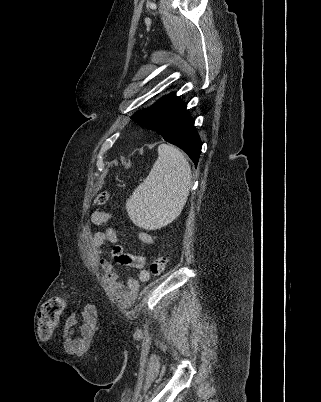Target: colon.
Segmentation results:
<instances>
[{"mask_svg": "<svg viewBox=\"0 0 321 402\" xmlns=\"http://www.w3.org/2000/svg\"><path fill=\"white\" fill-rule=\"evenodd\" d=\"M108 201V193L101 192L94 199L95 206H104ZM167 255L163 254L156 257L150 264V272L154 276H160L167 266ZM65 309V302L59 296H53L48 299L38 318V333L41 337L52 335L57 326L58 320Z\"/></svg>", "mask_w": 321, "mask_h": 402, "instance_id": "1", "label": "colon"}]
</instances>
